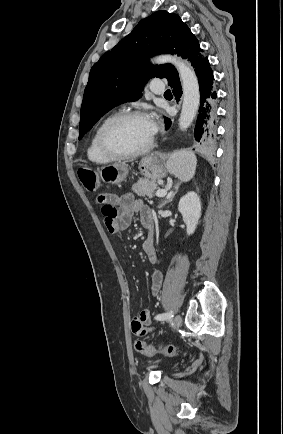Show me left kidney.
I'll list each match as a JSON object with an SVG mask.
<instances>
[{
  "mask_svg": "<svg viewBox=\"0 0 283 434\" xmlns=\"http://www.w3.org/2000/svg\"><path fill=\"white\" fill-rule=\"evenodd\" d=\"M178 210L182 214L186 224L188 235L194 233L201 217V201L195 192H189L183 196L178 204Z\"/></svg>",
  "mask_w": 283,
  "mask_h": 434,
  "instance_id": "5707ae66",
  "label": "left kidney"
}]
</instances>
